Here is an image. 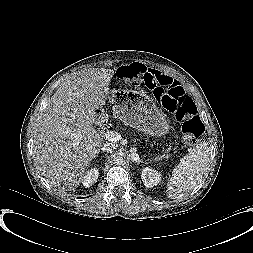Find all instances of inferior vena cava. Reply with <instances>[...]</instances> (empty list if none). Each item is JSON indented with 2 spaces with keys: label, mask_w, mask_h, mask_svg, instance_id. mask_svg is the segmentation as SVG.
I'll use <instances>...</instances> for the list:
<instances>
[{
  "label": "inferior vena cava",
  "mask_w": 253,
  "mask_h": 253,
  "mask_svg": "<svg viewBox=\"0 0 253 253\" xmlns=\"http://www.w3.org/2000/svg\"><path fill=\"white\" fill-rule=\"evenodd\" d=\"M112 149H113V145L110 143H105L104 147L102 148V150L106 152H112Z\"/></svg>",
  "instance_id": "602c4592"
}]
</instances>
